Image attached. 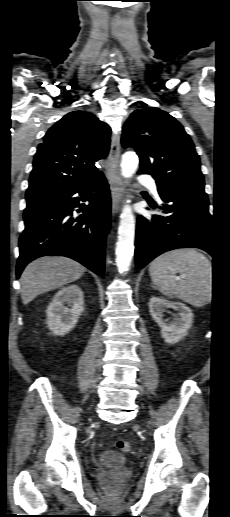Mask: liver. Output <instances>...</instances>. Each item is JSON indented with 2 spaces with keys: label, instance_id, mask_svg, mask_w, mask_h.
<instances>
[{
  "label": "liver",
  "instance_id": "1",
  "mask_svg": "<svg viewBox=\"0 0 230 517\" xmlns=\"http://www.w3.org/2000/svg\"><path fill=\"white\" fill-rule=\"evenodd\" d=\"M86 268L63 256H46L29 263L20 277L24 305L38 295L78 280Z\"/></svg>",
  "mask_w": 230,
  "mask_h": 517
}]
</instances>
